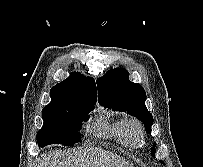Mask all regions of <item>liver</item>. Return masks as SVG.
<instances>
[{"label":"liver","instance_id":"6515ba94","mask_svg":"<svg viewBox=\"0 0 203 167\" xmlns=\"http://www.w3.org/2000/svg\"><path fill=\"white\" fill-rule=\"evenodd\" d=\"M37 162L36 167H132L124 159L93 148L76 153L49 152L41 155Z\"/></svg>","mask_w":203,"mask_h":167}]
</instances>
